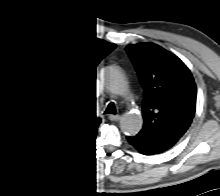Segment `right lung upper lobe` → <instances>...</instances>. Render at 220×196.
Listing matches in <instances>:
<instances>
[{"label":"right lung upper lobe","mask_w":220,"mask_h":196,"mask_svg":"<svg viewBox=\"0 0 220 196\" xmlns=\"http://www.w3.org/2000/svg\"><path fill=\"white\" fill-rule=\"evenodd\" d=\"M113 49L105 41L78 36L49 54L36 88V102L43 127L57 144L79 147L96 135L100 119L86 86L97 64Z\"/></svg>","instance_id":"1"}]
</instances>
